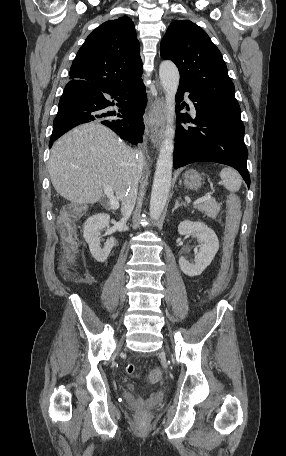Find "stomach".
Masks as SVG:
<instances>
[{
  "instance_id": "stomach-1",
  "label": "stomach",
  "mask_w": 286,
  "mask_h": 456,
  "mask_svg": "<svg viewBox=\"0 0 286 456\" xmlns=\"http://www.w3.org/2000/svg\"><path fill=\"white\" fill-rule=\"evenodd\" d=\"M202 184L201 175L195 170H188L184 174V185L190 190H197Z\"/></svg>"
}]
</instances>
